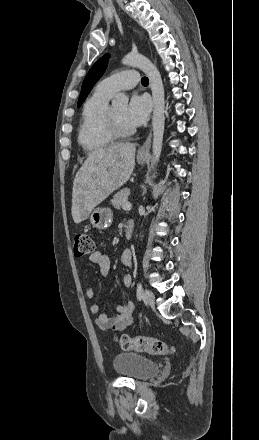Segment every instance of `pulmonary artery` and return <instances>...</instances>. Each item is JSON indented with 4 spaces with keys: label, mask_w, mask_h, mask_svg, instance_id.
I'll return each mask as SVG.
<instances>
[{
    "label": "pulmonary artery",
    "mask_w": 259,
    "mask_h": 440,
    "mask_svg": "<svg viewBox=\"0 0 259 440\" xmlns=\"http://www.w3.org/2000/svg\"><path fill=\"white\" fill-rule=\"evenodd\" d=\"M140 81L138 71L134 69L120 71L105 79L97 86L101 91L113 94L119 90H127L135 87Z\"/></svg>",
    "instance_id": "e3ab8cb5"
}]
</instances>
